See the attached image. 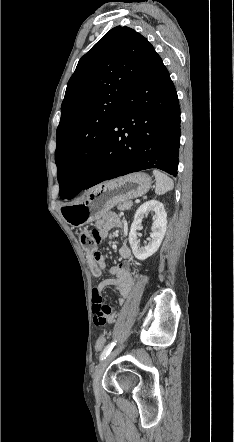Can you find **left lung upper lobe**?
<instances>
[{
  "instance_id": "5c2ea615",
  "label": "left lung upper lobe",
  "mask_w": 234,
  "mask_h": 442,
  "mask_svg": "<svg viewBox=\"0 0 234 442\" xmlns=\"http://www.w3.org/2000/svg\"><path fill=\"white\" fill-rule=\"evenodd\" d=\"M155 52L129 27L117 26L78 62L61 106L55 162L61 199L85 185L127 90Z\"/></svg>"
}]
</instances>
